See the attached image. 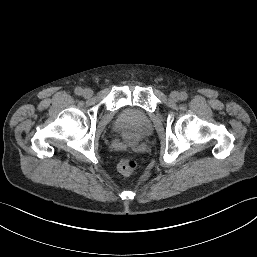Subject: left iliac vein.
Wrapping results in <instances>:
<instances>
[{"instance_id":"obj_1","label":"left iliac vein","mask_w":257,"mask_h":257,"mask_svg":"<svg viewBox=\"0 0 257 257\" xmlns=\"http://www.w3.org/2000/svg\"><path fill=\"white\" fill-rule=\"evenodd\" d=\"M169 97L171 101L176 102L179 100L180 94L177 91H172Z\"/></svg>"}]
</instances>
